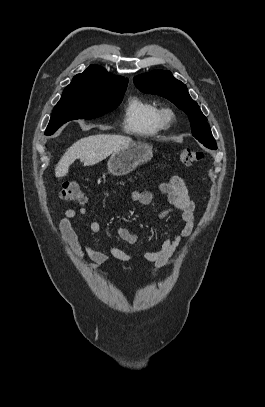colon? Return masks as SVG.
<instances>
[{
    "instance_id": "obj_1",
    "label": "colon",
    "mask_w": 265,
    "mask_h": 407,
    "mask_svg": "<svg viewBox=\"0 0 265 407\" xmlns=\"http://www.w3.org/2000/svg\"><path fill=\"white\" fill-rule=\"evenodd\" d=\"M204 159V153L194 149H183L179 153V161L186 165H194ZM60 197L67 202L81 203L85 201V194L76 182H65L60 191Z\"/></svg>"
}]
</instances>
